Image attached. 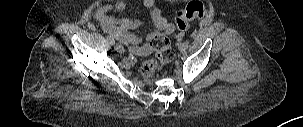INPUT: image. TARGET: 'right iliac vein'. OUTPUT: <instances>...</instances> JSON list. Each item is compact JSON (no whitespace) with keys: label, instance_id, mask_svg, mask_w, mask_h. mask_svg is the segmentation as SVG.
<instances>
[{"label":"right iliac vein","instance_id":"1","mask_svg":"<svg viewBox=\"0 0 303 127\" xmlns=\"http://www.w3.org/2000/svg\"><path fill=\"white\" fill-rule=\"evenodd\" d=\"M115 49L117 52H119L120 54H123L125 52L123 46L121 45H115Z\"/></svg>","mask_w":303,"mask_h":127}]
</instances>
